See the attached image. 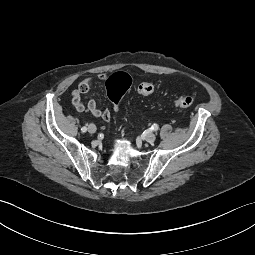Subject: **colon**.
Returning a JSON list of instances; mask_svg holds the SVG:
<instances>
[{
	"mask_svg": "<svg viewBox=\"0 0 255 255\" xmlns=\"http://www.w3.org/2000/svg\"><path fill=\"white\" fill-rule=\"evenodd\" d=\"M132 78L125 72H116L106 81L107 94L114 109L118 110L123 95L131 88ZM156 90L155 85L143 82L138 85L137 91L141 95H150ZM195 99L192 96H182L174 101L178 108H189L193 106Z\"/></svg>",
	"mask_w": 255,
	"mask_h": 255,
	"instance_id": "5ec220e1",
	"label": "colon"
}]
</instances>
